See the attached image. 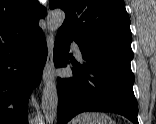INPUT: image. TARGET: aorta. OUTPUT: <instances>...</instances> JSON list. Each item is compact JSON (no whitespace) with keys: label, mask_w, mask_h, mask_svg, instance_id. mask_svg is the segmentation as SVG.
Masks as SVG:
<instances>
[{"label":"aorta","mask_w":156,"mask_h":124,"mask_svg":"<svg viewBox=\"0 0 156 124\" xmlns=\"http://www.w3.org/2000/svg\"><path fill=\"white\" fill-rule=\"evenodd\" d=\"M65 19L64 11L60 9L52 10L47 15V28L51 32L57 31L63 24ZM58 93L54 78L49 76L45 82L42 94V110L45 120L49 124H53L57 116Z\"/></svg>","instance_id":"aorta-1"}]
</instances>
